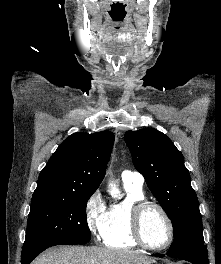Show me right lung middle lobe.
Masks as SVG:
<instances>
[{
  "label": "right lung middle lobe",
  "mask_w": 221,
  "mask_h": 264,
  "mask_svg": "<svg viewBox=\"0 0 221 264\" xmlns=\"http://www.w3.org/2000/svg\"><path fill=\"white\" fill-rule=\"evenodd\" d=\"M92 193H34L22 256L54 245H75L91 238L86 205Z\"/></svg>",
  "instance_id": "obj_1"
}]
</instances>
